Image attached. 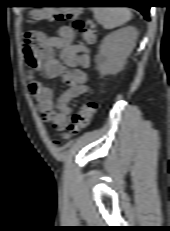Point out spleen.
<instances>
[{"label":"spleen","mask_w":170,"mask_h":231,"mask_svg":"<svg viewBox=\"0 0 170 231\" xmlns=\"http://www.w3.org/2000/svg\"><path fill=\"white\" fill-rule=\"evenodd\" d=\"M94 17L105 29H114L131 19V12L126 7H93Z\"/></svg>","instance_id":"spleen-1"}]
</instances>
